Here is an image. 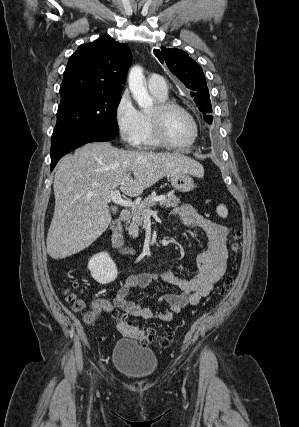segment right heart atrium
<instances>
[{
  "label": "right heart atrium",
  "instance_id": "d8ad5b80",
  "mask_svg": "<svg viewBox=\"0 0 299 427\" xmlns=\"http://www.w3.org/2000/svg\"><path fill=\"white\" fill-rule=\"evenodd\" d=\"M114 120L121 140L128 146H137L142 134V116L128 91H123L115 108Z\"/></svg>",
  "mask_w": 299,
  "mask_h": 427
}]
</instances>
